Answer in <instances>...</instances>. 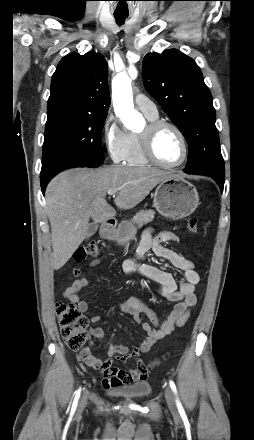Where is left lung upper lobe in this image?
Returning <instances> with one entry per match:
<instances>
[{"instance_id":"left-lung-upper-lobe-1","label":"left lung upper lobe","mask_w":254,"mask_h":440,"mask_svg":"<svg viewBox=\"0 0 254 440\" xmlns=\"http://www.w3.org/2000/svg\"><path fill=\"white\" fill-rule=\"evenodd\" d=\"M148 92L180 129L189 146L184 172L225 176L212 96L195 61L177 50L143 60Z\"/></svg>"}]
</instances>
